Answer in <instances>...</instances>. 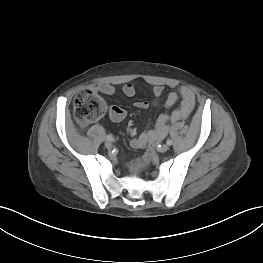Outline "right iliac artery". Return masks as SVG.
Here are the masks:
<instances>
[{
  "label": "right iliac artery",
  "mask_w": 263,
  "mask_h": 263,
  "mask_svg": "<svg viewBox=\"0 0 263 263\" xmlns=\"http://www.w3.org/2000/svg\"><path fill=\"white\" fill-rule=\"evenodd\" d=\"M106 139L109 140V141H112V142L115 141L114 137L111 136V135H107Z\"/></svg>",
  "instance_id": "obj_1"
}]
</instances>
